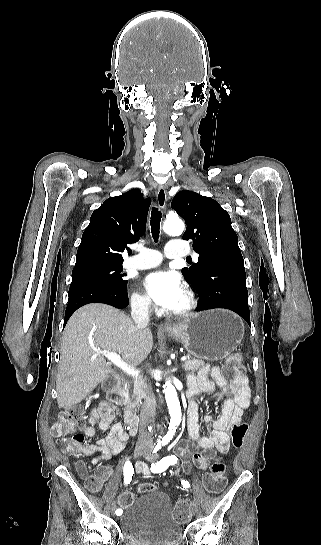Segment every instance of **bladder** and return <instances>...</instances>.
I'll list each match as a JSON object with an SVG mask.
<instances>
[{
  "label": "bladder",
  "instance_id": "1",
  "mask_svg": "<svg viewBox=\"0 0 321 545\" xmlns=\"http://www.w3.org/2000/svg\"><path fill=\"white\" fill-rule=\"evenodd\" d=\"M122 537L129 545H178L183 527L173 513L169 496L158 490L139 495L118 516Z\"/></svg>",
  "mask_w": 321,
  "mask_h": 545
}]
</instances>
